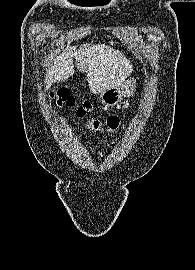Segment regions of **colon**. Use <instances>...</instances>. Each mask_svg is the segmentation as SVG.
<instances>
[{"label": "colon", "instance_id": "1", "mask_svg": "<svg viewBox=\"0 0 195 270\" xmlns=\"http://www.w3.org/2000/svg\"><path fill=\"white\" fill-rule=\"evenodd\" d=\"M51 97L54 98L58 106H74V99L67 90H59ZM92 109L90 101H84L75 108L78 117H85ZM120 125L119 117L115 115L108 116L105 119H90L86 123V127L93 132H113Z\"/></svg>", "mask_w": 195, "mask_h": 270}]
</instances>
